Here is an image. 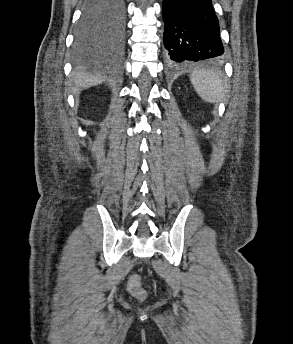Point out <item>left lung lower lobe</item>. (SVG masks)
I'll list each match as a JSON object with an SVG mask.
<instances>
[{
	"label": "left lung lower lobe",
	"instance_id": "1",
	"mask_svg": "<svg viewBox=\"0 0 293 344\" xmlns=\"http://www.w3.org/2000/svg\"><path fill=\"white\" fill-rule=\"evenodd\" d=\"M164 46L172 65L217 60L224 53L211 0H163Z\"/></svg>",
	"mask_w": 293,
	"mask_h": 344
}]
</instances>
